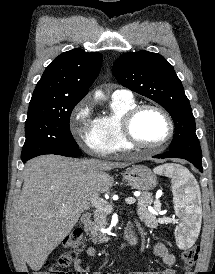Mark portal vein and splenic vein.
<instances>
[{
  "label": "portal vein and splenic vein",
  "instance_id": "portal-vein-and-splenic-vein-1",
  "mask_svg": "<svg viewBox=\"0 0 215 274\" xmlns=\"http://www.w3.org/2000/svg\"><path fill=\"white\" fill-rule=\"evenodd\" d=\"M90 203L96 207L99 210H102L106 213H111L112 212V207L108 204L107 201L100 197H92L89 199ZM125 202L129 205H132L136 202V199L133 197H129L125 199Z\"/></svg>",
  "mask_w": 215,
  "mask_h": 274
}]
</instances>
